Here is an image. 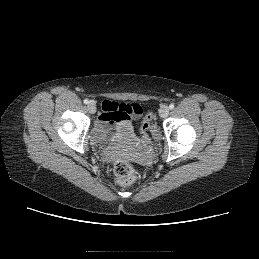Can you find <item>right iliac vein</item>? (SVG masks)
<instances>
[{
	"label": "right iliac vein",
	"mask_w": 259,
	"mask_h": 259,
	"mask_svg": "<svg viewBox=\"0 0 259 259\" xmlns=\"http://www.w3.org/2000/svg\"><path fill=\"white\" fill-rule=\"evenodd\" d=\"M87 108L91 114H94L96 112V105L94 102H89Z\"/></svg>",
	"instance_id": "right-iliac-vein-1"
}]
</instances>
